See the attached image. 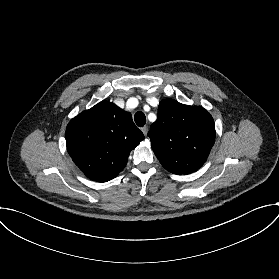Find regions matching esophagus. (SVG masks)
Masks as SVG:
<instances>
[{
  "label": "esophagus",
  "instance_id": "obj_1",
  "mask_svg": "<svg viewBox=\"0 0 279 279\" xmlns=\"http://www.w3.org/2000/svg\"><path fill=\"white\" fill-rule=\"evenodd\" d=\"M143 134L146 136L148 133V126H144L142 129Z\"/></svg>",
  "mask_w": 279,
  "mask_h": 279
}]
</instances>
